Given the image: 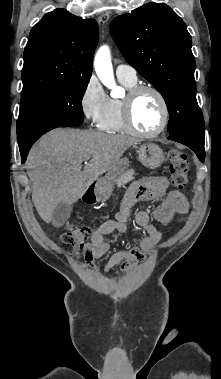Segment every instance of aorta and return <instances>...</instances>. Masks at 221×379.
I'll return each instance as SVG.
<instances>
[{
  "label": "aorta",
  "instance_id": "aorta-1",
  "mask_svg": "<svg viewBox=\"0 0 221 379\" xmlns=\"http://www.w3.org/2000/svg\"><path fill=\"white\" fill-rule=\"evenodd\" d=\"M94 67L100 81L107 88L112 90L111 96L118 97L122 89L116 85L114 80L111 55L108 46L100 47L94 59Z\"/></svg>",
  "mask_w": 221,
  "mask_h": 379
}]
</instances>
